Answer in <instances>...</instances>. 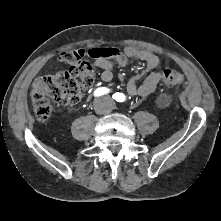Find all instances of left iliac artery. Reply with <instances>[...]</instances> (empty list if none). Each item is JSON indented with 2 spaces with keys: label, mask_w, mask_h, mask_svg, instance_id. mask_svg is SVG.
Returning <instances> with one entry per match:
<instances>
[{
  "label": "left iliac artery",
  "mask_w": 221,
  "mask_h": 221,
  "mask_svg": "<svg viewBox=\"0 0 221 221\" xmlns=\"http://www.w3.org/2000/svg\"><path fill=\"white\" fill-rule=\"evenodd\" d=\"M113 98L118 102H123L125 100V96L122 93H115Z\"/></svg>",
  "instance_id": "44dca946"
}]
</instances>
